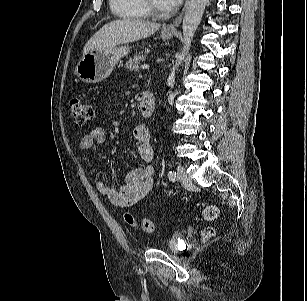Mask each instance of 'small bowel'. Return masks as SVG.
Returning a JSON list of instances; mask_svg holds the SVG:
<instances>
[{
	"instance_id": "obj_1",
	"label": "small bowel",
	"mask_w": 307,
	"mask_h": 301,
	"mask_svg": "<svg viewBox=\"0 0 307 301\" xmlns=\"http://www.w3.org/2000/svg\"><path fill=\"white\" fill-rule=\"evenodd\" d=\"M134 138L137 142L138 155L146 165L124 174L117 188L101 179L95 181L97 191L112 204L121 208L133 206L148 197L154 184V167L151 164L154 159V151L149 128L145 124L137 125L134 129ZM105 142V130L101 127H94L83 135L80 140V148L84 151H90L95 144H104Z\"/></svg>"
}]
</instances>
